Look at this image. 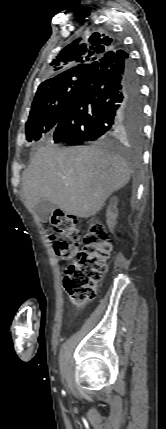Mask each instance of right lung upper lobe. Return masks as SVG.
Wrapping results in <instances>:
<instances>
[{
  "mask_svg": "<svg viewBox=\"0 0 166 429\" xmlns=\"http://www.w3.org/2000/svg\"><path fill=\"white\" fill-rule=\"evenodd\" d=\"M117 49L116 42L103 33H93L87 37L76 39L67 45L52 60L49 68L51 78L42 82L38 87L39 94L53 84L77 75H87L90 65L107 52Z\"/></svg>",
  "mask_w": 166,
  "mask_h": 429,
  "instance_id": "right-lung-upper-lobe-1",
  "label": "right lung upper lobe"
}]
</instances>
